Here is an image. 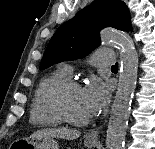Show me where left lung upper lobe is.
<instances>
[{
  "label": "left lung upper lobe",
  "mask_w": 155,
  "mask_h": 149,
  "mask_svg": "<svg viewBox=\"0 0 155 149\" xmlns=\"http://www.w3.org/2000/svg\"><path fill=\"white\" fill-rule=\"evenodd\" d=\"M105 27L132 31L130 13L123 1L95 0L63 23L49 41L39 69L86 56L100 45L99 32Z\"/></svg>",
  "instance_id": "obj_1"
}]
</instances>
